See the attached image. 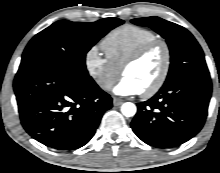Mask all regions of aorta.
<instances>
[{"instance_id":"obj_1","label":"aorta","mask_w":220,"mask_h":173,"mask_svg":"<svg viewBox=\"0 0 220 173\" xmlns=\"http://www.w3.org/2000/svg\"><path fill=\"white\" fill-rule=\"evenodd\" d=\"M136 106L131 102H126L121 106V112L126 117H132L136 114Z\"/></svg>"}]
</instances>
